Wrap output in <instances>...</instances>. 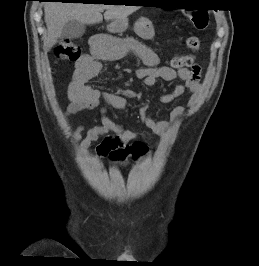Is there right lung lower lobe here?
<instances>
[{"label": "right lung lower lobe", "instance_id": "1", "mask_svg": "<svg viewBox=\"0 0 259 266\" xmlns=\"http://www.w3.org/2000/svg\"><path fill=\"white\" fill-rule=\"evenodd\" d=\"M58 1H62V2H64V1H67V0H58Z\"/></svg>", "mask_w": 259, "mask_h": 266}]
</instances>
